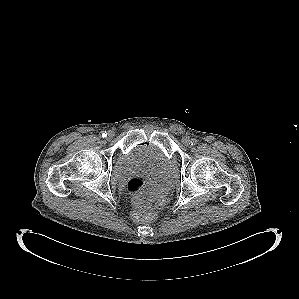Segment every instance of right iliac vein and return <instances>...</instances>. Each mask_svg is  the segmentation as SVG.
Listing matches in <instances>:
<instances>
[{
    "mask_svg": "<svg viewBox=\"0 0 299 299\" xmlns=\"http://www.w3.org/2000/svg\"><path fill=\"white\" fill-rule=\"evenodd\" d=\"M107 136H108L109 138H112V137L114 136V132H113V131H109Z\"/></svg>",
    "mask_w": 299,
    "mask_h": 299,
    "instance_id": "1",
    "label": "right iliac vein"
}]
</instances>
